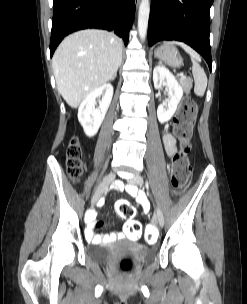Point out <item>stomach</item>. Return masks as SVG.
<instances>
[{
  "label": "stomach",
  "mask_w": 247,
  "mask_h": 304,
  "mask_svg": "<svg viewBox=\"0 0 247 304\" xmlns=\"http://www.w3.org/2000/svg\"><path fill=\"white\" fill-rule=\"evenodd\" d=\"M154 54L170 67L176 68L183 65V59L173 43H164L155 49Z\"/></svg>",
  "instance_id": "obj_1"
}]
</instances>
